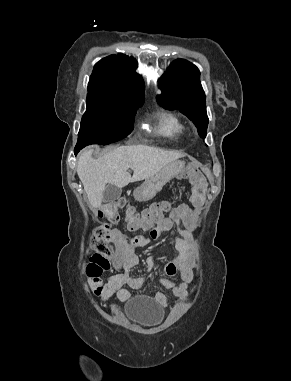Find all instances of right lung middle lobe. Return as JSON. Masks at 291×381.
I'll use <instances>...</instances> for the list:
<instances>
[{
	"instance_id": "obj_1",
	"label": "right lung middle lobe",
	"mask_w": 291,
	"mask_h": 381,
	"mask_svg": "<svg viewBox=\"0 0 291 381\" xmlns=\"http://www.w3.org/2000/svg\"><path fill=\"white\" fill-rule=\"evenodd\" d=\"M87 110L82 117L77 146L107 145L126 137L133 129L136 111L141 104L87 96Z\"/></svg>"
}]
</instances>
